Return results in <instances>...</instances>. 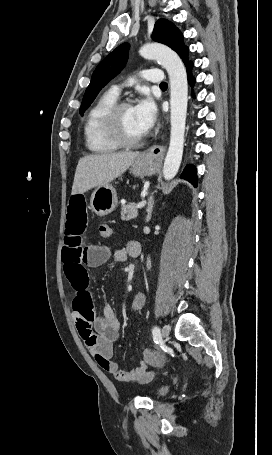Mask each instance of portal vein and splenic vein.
I'll use <instances>...</instances> for the list:
<instances>
[{"mask_svg":"<svg viewBox=\"0 0 272 455\" xmlns=\"http://www.w3.org/2000/svg\"><path fill=\"white\" fill-rule=\"evenodd\" d=\"M145 204H146V201H145V200H142L141 202H139V203L137 204V208L141 209V208H143V207L145 206Z\"/></svg>","mask_w":272,"mask_h":455,"instance_id":"18ae733b","label":"portal vein and splenic vein"}]
</instances>
